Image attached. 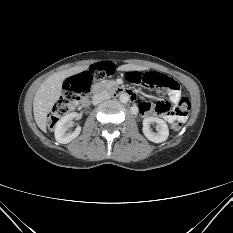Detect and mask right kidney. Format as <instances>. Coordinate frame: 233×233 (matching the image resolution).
<instances>
[{"label": "right kidney", "instance_id": "right-kidney-1", "mask_svg": "<svg viewBox=\"0 0 233 233\" xmlns=\"http://www.w3.org/2000/svg\"><path fill=\"white\" fill-rule=\"evenodd\" d=\"M80 119L76 112L69 113L63 116L55 126V139L61 144H67L75 139L81 132V127L77 126L74 131H71L72 120Z\"/></svg>", "mask_w": 233, "mask_h": 233}]
</instances>
